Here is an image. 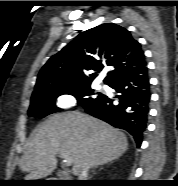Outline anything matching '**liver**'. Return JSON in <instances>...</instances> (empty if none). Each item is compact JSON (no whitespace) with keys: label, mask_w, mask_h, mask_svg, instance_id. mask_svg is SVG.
<instances>
[{"label":"liver","mask_w":178,"mask_h":186,"mask_svg":"<svg viewBox=\"0 0 178 186\" xmlns=\"http://www.w3.org/2000/svg\"><path fill=\"white\" fill-rule=\"evenodd\" d=\"M128 148L126 135L109 124L78 111L50 116L36 131L18 162L26 180L51 175L56 155L72 159L73 174L118 159Z\"/></svg>","instance_id":"6515ba94"}]
</instances>
